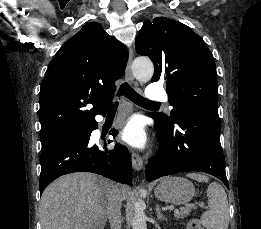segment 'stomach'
I'll return each mask as SVG.
<instances>
[{"label": "stomach", "instance_id": "1", "mask_svg": "<svg viewBox=\"0 0 261 229\" xmlns=\"http://www.w3.org/2000/svg\"><path fill=\"white\" fill-rule=\"evenodd\" d=\"M156 199L171 205H185L194 197L193 183L183 177H165L160 179L159 185L154 189Z\"/></svg>", "mask_w": 261, "mask_h": 229}]
</instances>
